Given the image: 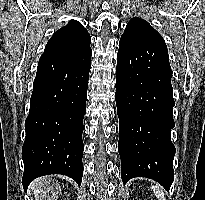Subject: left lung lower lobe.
I'll use <instances>...</instances> for the list:
<instances>
[{
  "label": "left lung lower lobe",
  "mask_w": 205,
  "mask_h": 200,
  "mask_svg": "<svg viewBox=\"0 0 205 200\" xmlns=\"http://www.w3.org/2000/svg\"><path fill=\"white\" fill-rule=\"evenodd\" d=\"M171 76L165 43L119 42L115 100L123 183L146 177L170 189L175 155Z\"/></svg>",
  "instance_id": "1"
}]
</instances>
